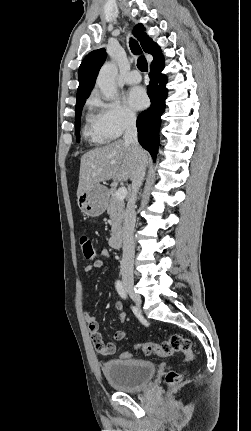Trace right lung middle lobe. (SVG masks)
I'll return each instance as SVG.
<instances>
[{"instance_id": "dd1d6c3e", "label": "right lung middle lobe", "mask_w": 251, "mask_h": 431, "mask_svg": "<svg viewBox=\"0 0 251 431\" xmlns=\"http://www.w3.org/2000/svg\"><path fill=\"white\" fill-rule=\"evenodd\" d=\"M86 98H88V97H84V98L78 99L77 102H76V109H75V111H76V114H75V132H76L77 142L80 141L79 130H80L81 111H82V108H83V106L85 104Z\"/></svg>"}]
</instances>
